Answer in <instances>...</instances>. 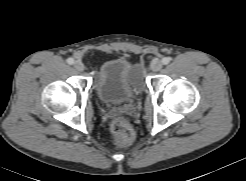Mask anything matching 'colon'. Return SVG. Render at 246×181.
Here are the masks:
<instances>
[{"mask_svg": "<svg viewBox=\"0 0 246 181\" xmlns=\"http://www.w3.org/2000/svg\"><path fill=\"white\" fill-rule=\"evenodd\" d=\"M110 129L115 142L119 145H126L133 138V129L130 123L124 118L114 119Z\"/></svg>", "mask_w": 246, "mask_h": 181, "instance_id": "1", "label": "colon"}]
</instances>
